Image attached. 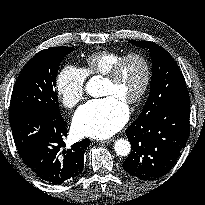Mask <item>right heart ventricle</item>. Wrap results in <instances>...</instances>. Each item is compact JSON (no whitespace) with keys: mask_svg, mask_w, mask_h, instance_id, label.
Instances as JSON below:
<instances>
[{"mask_svg":"<svg viewBox=\"0 0 205 205\" xmlns=\"http://www.w3.org/2000/svg\"><path fill=\"white\" fill-rule=\"evenodd\" d=\"M123 55L111 51L92 53L85 58L82 71L86 77L104 76Z\"/></svg>","mask_w":205,"mask_h":205,"instance_id":"e07e8e85","label":"right heart ventricle"}]
</instances>
